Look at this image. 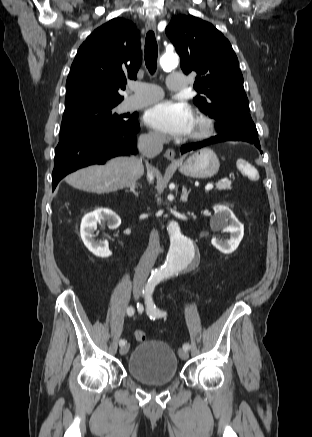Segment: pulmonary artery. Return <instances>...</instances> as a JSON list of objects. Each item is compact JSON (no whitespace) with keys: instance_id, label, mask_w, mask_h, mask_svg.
<instances>
[{"instance_id":"pulmonary-artery-1","label":"pulmonary artery","mask_w":312,"mask_h":437,"mask_svg":"<svg viewBox=\"0 0 312 437\" xmlns=\"http://www.w3.org/2000/svg\"><path fill=\"white\" fill-rule=\"evenodd\" d=\"M187 85L186 77L181 73L170 74L167 78V86L171 90H180ZM163 97V91L156 85L139 83L135 88V95L132 96L128 103L129 110H135L145 107L149 104L159 101Z\"/></svg>"}]
</instances>
